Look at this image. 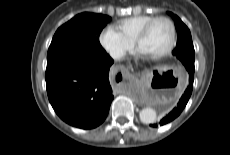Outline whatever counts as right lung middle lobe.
<instances>
[{
	"mask_svg": "<svg viewBox=\"0 0 230 155\" xmlns=\"http://www.w3.org/2000/svg\"><path fill=\"white\" fill-rule=\"evenodd\" d=\"M110 20L109 16L95 13L76 15L56 31L48 49L47 63L105 56L107 53L100 45L99 35Z\"/></svg>",
	"mask_w": 230,
	"mask_h": 155,
	"instance_id": "dd1d6c3e",
	"label": "right lung middle lobe"
}]
</instances>
